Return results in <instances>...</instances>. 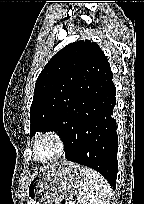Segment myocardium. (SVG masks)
Listing matches in <instances>:
<instances>
[{
  "instance_id": "f54148a6",
  "label": "myocardium",
  "mask_w": 144,
  "mask_h": 204,
  "mask_svg": "<svg viewBox=\"0 0 144 204\" xmlns=\"http://www.w3.org/2000/svg\"><path fill=\"white\" fill-rule=\"evenodd\" d=\"M47 139L52 140L55 143L57 147V152L52 158L48 160H40L37 156V147L40 142L47 140ZM32 151H33V157L35 161L41 164H51V163H54L60 160L66 154L67 142L65 138L59 132L54 131V130L45 131L41 133L34 141Z\"/></svg>"
}]
</instances>
